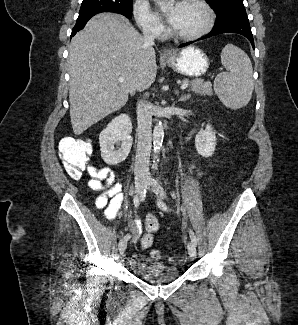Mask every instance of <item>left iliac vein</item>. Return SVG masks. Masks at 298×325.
<instances>
[{"label": "left iliac vein", "mask_w": 298, "mask_h": 325, "mask_svg": "<svg viewBox=\"0 0 298 325\" xmlns=\"http://www.w3.org/2000/svg\"><path fill=\"white\" fill-rule=\"evenodd\" d=\"M147 188L152 191L157 197L165 199L166 193L158 182L151 177L147 179ZM188 254L192 259L196 258V246L193 242H189L187 246Z\"/></svg>", "instance_id": "4c4485c4"}]
</instances>
